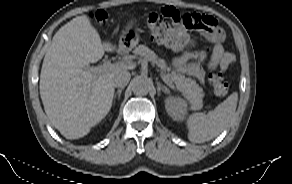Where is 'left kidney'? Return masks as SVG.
Here are the masks:
<instances>
[{"mask_svg":"<svg viewBox=\"0 0 292 184\" xmlns=\"http://www.w3.org/2000/svg\"><path fill=\"white\" fill-rule=\"evenodd\" d=\"M165 108L173 120L179 121L187 111V102L180 97H168L165 100Z\"/></svg>","mask_w":292,"mask_h":184,"instance_id":"obj_1","label":"left kidney"}]
</instances>
